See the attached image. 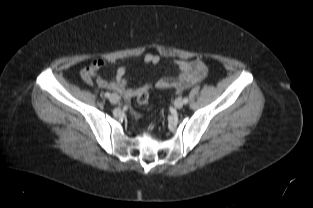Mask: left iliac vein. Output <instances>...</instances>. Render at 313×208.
Here are the masks:
<instances>
[{
    "instance_id": "left-iliac-vein-1",
    "label": "left iliac vein",
    "mask_w": 313,
    "mask_h": 208,
    "mask_svg": "<svg viewBox=\"0 0 313 208\" xmlns=\"http://www.w3.org/2000/svg\"><path fill=\"white\" fill-rule=\"evenodd\" d=\"M183 105H184V103H183L181 98L176 99L175 102H174V106L177 109H181L183 107Z\"/></svg>"
}]
</instances>
